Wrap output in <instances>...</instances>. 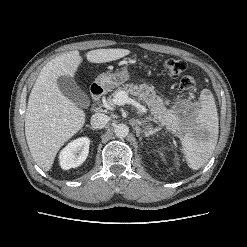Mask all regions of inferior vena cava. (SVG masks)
<instances>
[{"label": "inferior vena cava", "mask_w": 247, "mask_h": 247, "mask_svg": "<svg viewBox=\"0 0 247 247\" xmlns=\"http://www.w3.org/2000/svg\"><path fill=\"white\" fill-rule=\"evenodd\" d=\"M108 116L102 113H96L91 117V125L95 129H102L108 123Z\"/></svg>", "instance_id": "obj_1"}]
</instances>
